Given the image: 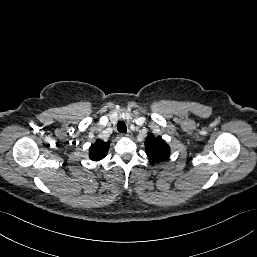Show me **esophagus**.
Returning a JSON list of instances; mask_svg holds the SVG:
<instances>
[{
	"label": "esophagus",
	"mask_w": 257,
	"mask_h": 257,
	"mask_svg": "<svg viewBox=\"0 0 257 257\" xmlns=\"http://www.w3.org/2000/svg\"><path fill=\"white\" fill-rule=\"evenodd\" d=\"M120 136H121V137L130 138V137H132V133H131V132H128V133H125V134H124V133H121Z\"/></svg>",
	"instance_id": "esophagus-1"
}]
</instances>
